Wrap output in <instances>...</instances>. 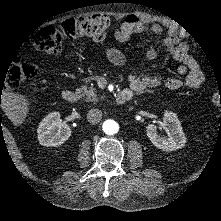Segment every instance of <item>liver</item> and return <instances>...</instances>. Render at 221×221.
Segmentation results:
<instances>
[{
	"mask_svg": "<svg viewBox=\"0 0 221 221\" xmlns=\"http://www.w3.org/2000/svg\"><path fill=\"white\" fill-rule=\"evenodd\" d=\"M0 106L7 118L14 124L18 125L23 121L26 108L22 98L8 94Z\"/></svg>",
	"mask_w": 221,
	"mask_h": 221,
	"instance_id": "liver-1",
	"label": "liver"
}]
</instances>
